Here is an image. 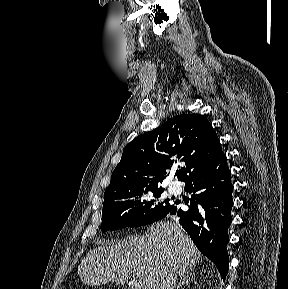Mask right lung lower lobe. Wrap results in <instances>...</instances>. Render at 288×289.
<instances>
[{
  "label": "right lung lower lobe",
  "instance_id": "obj_1",
  "mask_svg": "<svg viewBox=\"0 0 288 289\" xmlns=\"http://www.w3.org/2000/svg\"><path fill=\"white\" fill-rule=\"evenodd\" d=\"M226 163V156L221 152L212 162L190 175L184 181L186 190L194 194L189 210L178 208L176 202L165 214L179 216L182 227L200 252L215 263L223 279L228 270L226 245L233 206L231 172Z\"/></svg>",
  "mask_w": 288,
  "mask_h": 289
}]
</instances>
